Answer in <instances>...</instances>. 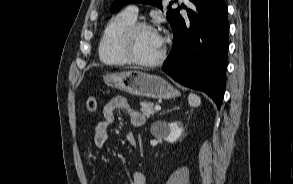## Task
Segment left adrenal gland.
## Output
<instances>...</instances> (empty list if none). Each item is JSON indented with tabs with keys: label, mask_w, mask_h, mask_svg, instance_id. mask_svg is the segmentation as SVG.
<instances>
[{
	"label": "left adrenal gland",
	"mask_w": 293,
	"mask_h": 184,
	"mask_svg": "<svg viewBox=\"0 0 293 184\" xmlns=\"http://www.w3.org/2000/svg\"><path fill=\"white\" fill-rule=\"evenodd\" d=\"M178 109H179V107H173V109L168 110L166 113H169V112H171L173 110H178ZM163 114H165V112Z\"/></svg>",
	"instance_id": "obj_1"
}]
</instances>
